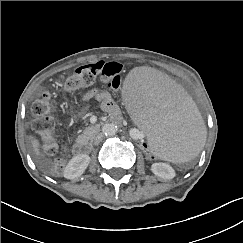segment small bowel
Here are the masks:
<instances>
[{
	"label": "small bowel",
	"mask_w": 243,
	"mask_h": 243,
	"mask_svg": "<svg viewBox=\"0 0 243 243\" xmlns=\"http://www.w3.org/2000/svg\"><path fill=\"white\" fill-rule=\"evenodd\" d=\"M91 99H95L101 103L102 108L110 113H115L117 111V106L114 102L112 95L106 91L98 88H94L86 92L82 98V102H87Z\"/></svg>",
	"instance_id": "1"
}]
</instances>
